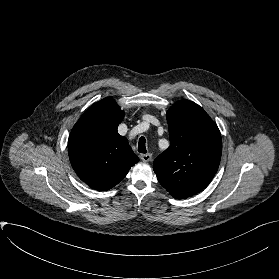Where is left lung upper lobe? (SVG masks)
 <instances>
[{
  "mask_svg": "<svg viewBox=\"0 0 279 279\" xmlns=\"http://www.w3.org/2000/svg\"><path fill=\"white\" fill-rule=\"evenodd\" d=\"M171 145L153 163L160 184L174 197L199 193L213 179L220 164L221 134L203 108L189 100L167 111Z\"/></svg>",
  "mask_w": 279,
  "mask_h": 279,
  "instance_id": "1",
  "label": "left lung upper lobe"
}]
</instances>
